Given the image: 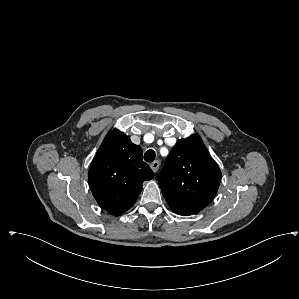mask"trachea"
I'll list each match as a JSON object with an SVG mask.
<instances>
[{
    "label": "trachea",
    "mask_w": 299,
    "mask_h": 299,
    "mask_svg": "<svg viewBox=\"0 0 299 299\" xmlns=\"http://www.w3.org/2000/svg\"><path fill=\"white\" fill-rule=\"evenodd\" d=\"M155 151L152 149H149L148 151H146V153L144 154V160L146 162H153L155 160Z\"/></svg>",
    "instance_id": "1"
}]
</instances>
